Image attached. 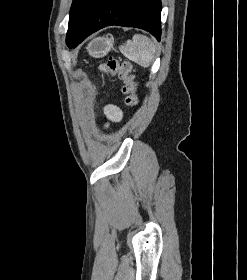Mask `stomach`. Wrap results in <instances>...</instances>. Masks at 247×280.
Instances as JSON below:
<instances>
[{
	"label": "stomach",
	"instance_id": "1",
	"mask_svg": "<svg viewBox=\"0 0 247 280\" xmlns=\"http://www.w3.org/2000/svg\"><path fill=\"white\" fill-rule=\"evenodd\" d=\"M113 45V37H97L88 44L87 51L91 56L100 58L107 55V53L113 48Z\"/></svg>",
	"mask_w": 247,
	"mask_h": 280
}]
</instances>
